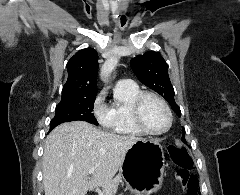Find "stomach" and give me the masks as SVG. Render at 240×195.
<instances>
[{
	"mask_svg": "<svg viewBox=\"0 0 240 195\" xmlns=\"http://www.w3.org/2000/svg\"><path fill=\"white\" fill-rule=\"evenodd\" d=\"M164 157L163 147L154 137H142L131 145L120 165L121 177L130 195H151L161 189Z\"/></svg>",
	"mask_w": 240,
	"mask_h": 195,
	"instance_id": "stomach-1",
	"label": "stomach"
}]
</instances>
